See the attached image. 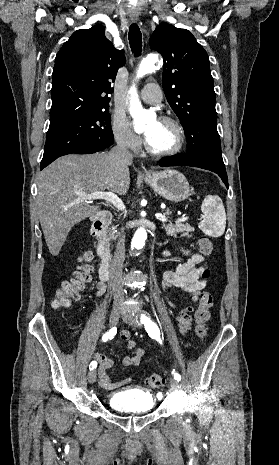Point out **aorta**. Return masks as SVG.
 Returning a JSON list of instances; mask_svg holds the SVG:
<instances>
[{
	"label": "aorta",
	"instance_id": "aorta-1",
	"mask_svg": "<svg viewBox=\"0 0 279 465\" xmlns=\"http://www.w3.org/2000/svg\"><path fill=\"white\" fill-rule=\"evenodd\" d=\"M158 61V57L156 55H149L139 65L137 70L136 77L142 78L146 74L152 73L155 70V63ZM130 114L132 115L134 122H135V129L141 130L149 118V113L143 109L137 95V89L135 85L130 88ZM147 239L146 230L141 227L139 228L133 236L131 242V248L134 250H140L143 248L145 241Z\"/></svg>",
	"mask_w": 279,
	"mask_h": 465
}]
</instances>
